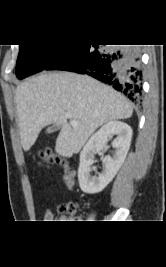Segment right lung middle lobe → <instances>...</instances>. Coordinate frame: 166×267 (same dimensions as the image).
Wrapping results in <instances>:
<instances>
[{
	"label": "right lung middle lobe",
	"instance_id": "dd1d6c3e",
	"mask_svg": "<svg viewBox=\"0 0 166 267\" xmlns=\"http://www.w3.org/2000/svg\"><path fill=\"white\" fill-rule=\"evenodd\" d=\"M65 45H20L16 76L23 79L38 73L62 51Z\"/></svg>",
	"mask_w": 166,
	"mask_h": 267
}]
</instances>
